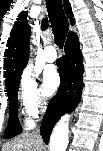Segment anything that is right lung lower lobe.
Segmentation results:
<instances>
[{"label": "right lung lower lobe", "mask_w": 103, "mask_h": 151, "mask_svg": "<svg viewBox=\"0 0 103 151\" xmlns=\"http://www.w3.org/2000/svg\"><path fill=\"white\" fill-rule=\"evenodd\" d=\"M66 55L59 64L61 84L58 92L50 100L41 124V135L47 144L52 131L61 115L73 111L78 105L83 88V57L76 34L68 35L65 44Z\"/></svg>", "instance_id": "98d812e1"}]
</instances>
